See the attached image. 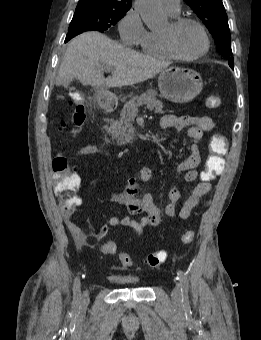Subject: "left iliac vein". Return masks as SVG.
I'll list each match as a JSON object with an SVG mask.
<instances>
[{
  "mask_svg": "<svg viewBox=\"0 0 261 340\" xmlns=\"http://www.w3.org/2000/svg\"><path fill=\"white\" fill-rule=\"evenodd\" d=\"M181 296H182L181 284L176 283L171 293L172 300L174 302H179L181 300Z\"/></svg>",
  "mask_w": 261,
  "mask_h": 340,
  "instance_id": "1",
  "label": "left iliac vein"
}]
</instances>
